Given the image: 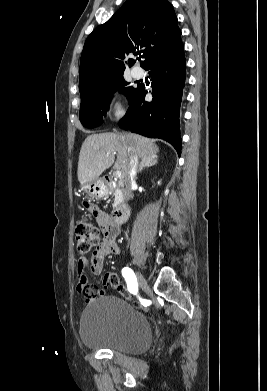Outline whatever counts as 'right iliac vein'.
Returning <instances> with one entry per match:
<instances>
[{"mask_svg":"<svg viewBox=\"0 0 267 391\" xmlns=\"http://www.w3.org/2000/svg\"><path fill=\"white\" fill-rule=\"evenodd\" d=\"M136 276H137V281H138L140 288L143 290L146 289L147 288V281H146L145 277L143 276V274L140 272H137Z\"/></svg>","mask_w":267,"mask_h":391,"instance_id":"1","label":"right iliac vein"}]
</instances>
